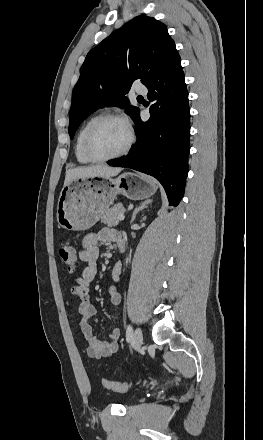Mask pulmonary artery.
<instances>
[{
	"instance_id": "1",
	"label": "pulmonary artery",
	"mask_w": 263,
	"mask_h": 440,
	"mask_svg": "<svg viewBox=\"0 0 263 440\" xmlns=\"http://www.w3.org/2000/svg\"><path fill=\"white\" fill-rule=\"evenodd\" d=\"M135 90H136V92L138 94H146L147 93V88L146 87L138 86V87H136Z\"/></svg>"
}]
</instances>
